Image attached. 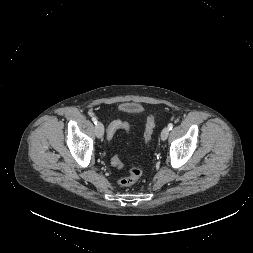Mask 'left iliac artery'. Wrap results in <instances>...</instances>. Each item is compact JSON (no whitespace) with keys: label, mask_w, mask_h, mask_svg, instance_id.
I'll list each match as a JSON object with an SVG mask.
<instances>
[{"label":"left iliac artery","mask_w":253,"mask_h":253,"mask_svg":"<svg viewBox=\"0 0 253 253\" xmlns=\"http://www.w3.org/2000/svg\"><path fill=\"white\" fill-rule=\"evenodd\" d=\"M168 128H169V130H172L173 124H172V123H169Z\"/></svg>","instance_id":"44dca946"}]
</instances>
